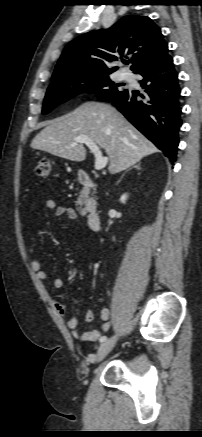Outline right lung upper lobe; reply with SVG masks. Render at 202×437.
Returning <instances> with one entry per match:
<instances>
[{
  "label": "right lung upper lobe",
  "mask_w": 202,
  "mask_h": 437,
  "mask_svg": "<svg viewBox=\"0 0 202 437\" xmlns=\"http://www.w3.org/2000/svg\"><path fill=\"white\" fill-rule=\"evenodd\" d=\"M131 55L135 73L155 65L168 56L161 30L149 17L128 15L108 30L85 33L64 49L52 75V83L75 77L110 74L111 62Z\"/></svg>",
  "instance_id": "obj_1"
}]
</instances>
